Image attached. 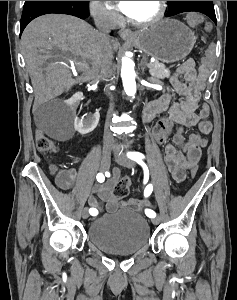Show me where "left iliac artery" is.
Masks as SVG:
<instances>
[{
  "mask_svg": "<svg viewBox=\"0 0 237 300\" xmlns=\"http://www.w3.org/2000/svg\"><path fill=\"white\" fill-rule=\"evenodd\" d=\"M127 156L131 160H134L135 162H137L138 164H140L143 167L144 172H149L148 171V167L146 166V164L142 160V159L145 158L142 153H139V152H128ZM152 191H153L152 184L147 185L146 188H145V190H144V196L148 197L152 193ZM145 214L149 218H154L156 216V213L153 210H150V209H146L145 210Z\"/></svg>",
  "mask_w": 237,
  "mask_h": 300,
  "instance_id": "obj_1",
  "label": "left iliac artery"
}]
</instances>
